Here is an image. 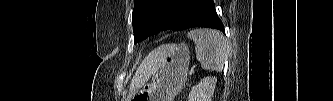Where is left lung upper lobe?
<instances>
[{
	"label": "left lung upper lobe",
	"mask_w": 333,
	"mask_h": 101,
	"mask_svg": "<svg viewBox=\"0 0 333 101\" xmlns=\"http://www.w3.org/2000/svg\"><path fill=\"white\" fill-rule=\"evenodd\" d=\"M184 10L179 0H135L133 9L134 42L161 30L179 31Z\"/></svg>",
	"instance_id": "obj_1"
}]
</instances>
